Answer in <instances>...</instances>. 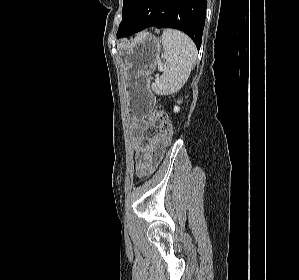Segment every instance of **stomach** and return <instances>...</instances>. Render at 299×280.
<instances>
[{"instance_id":"stomach-1","label":"stomach","mask_w":299,"mask_h":280,"mask_svg":"<svg viewBox=\"0 0 299 280\" xmlns=\"http://www.w3.org/2000/svg\"><path fill=\"white\" fill-rule=\"evenodd\" d=\"M160 50L157 37L141 33L120 52L125 70V100L132 116L145 117L153 106L148 77L156 68Z\"/></svg>"}]
</instances>
